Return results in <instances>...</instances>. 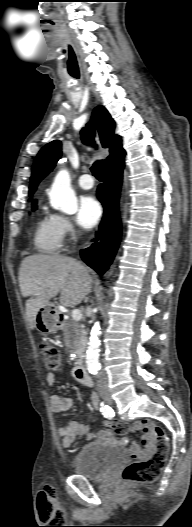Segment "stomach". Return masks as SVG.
Returning a JSON list of instances; mask_svg holds the SVG:
<instances>
[{
    "mask_svg": "<svg viewBox=\"0 0 192 527\" xmlns=\"http://www.w3.org/2000/svg\"><path fill=\"white\" fill-rule=\"evenodd\" d=\"M36 328L42 334L56 332L59 326V313L52 303L40 307L36 316Z\"/></svg>",
    "mask_w": 192,
    "mask_h": 527,
    "instance_id": "0dacf381",
    "label": "stomach"
}]
</instances>
